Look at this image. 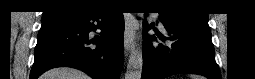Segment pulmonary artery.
I'll return each mask as SVG.
<instances>
[{
  "label": "pulmonary artery",
  "mask_w": 255,
  "mask_h": 79,
  "mask_svg": "<svg viewBox=\"0 0 255 79\" xmlns=\"http://www.w3.org/2000/svg\"><path fill=\"white\" fill-rule=\"evenodd\" d=\"M158 25H159L160 28H162V29L164 28V26H163L161 21L158 22Z\"/></svg>",
  "instance_id": "e3ab8cb5"
}]
</instances>
